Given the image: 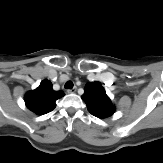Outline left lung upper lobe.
I'll use <instances>...</instances> for the list:
<instances>
[{"mask_svg":"<svg viewBox=\"0 0 163 163\" xmlns=\"http://www.w3.org/2000/svg\"><path fill=\"white\" fill-rule=\"evenodd\" d=\"M82 99L86 103L88 111L98 118L109 117L115 111L110 98L99 82L87 83Z\"/></svg>","mask_w":163,"mask_h":163,"instance_id":"obj_1","label":"left lung upper lobe"}]
</instances>
